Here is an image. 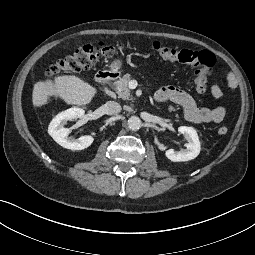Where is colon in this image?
<instances>
[{
    "instance_id": "1",
    "label": "colon",
    "mask_w": 255,
    "mask_h": 255,
    "mask_svg": "<svg viewBox=\"0 0 255 255\" xmlns=\"http://www.w3.org/2000/svg\"><path fill=\"white\" fill-rule=\"evenodd\" d=\"M152 48L165 61L194 66L196 91L201 95L206 93L208 88L207 76L215 64V56L211 52L175 49L158 41L153 42ZM126 49L125 45H112L104 42L83 45L75 50L73 54L60 59L52 65L47 72V76L52 78L88 69L100 59L112 58ZM227 132L228 128L226 126L218 128L220 135H225Z\"/></svg>"
}]
</instances>
